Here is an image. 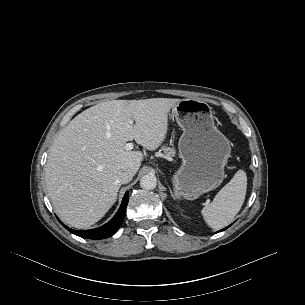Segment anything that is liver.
I'll return each mask as SVG.
<instances>
[{"instance_id": "liver-1", "label": "liver", "mask_w": 305, "mask_h": 305, "mask_svg": "<svg viewBox=\"0 0 305 305\" xmlns=\"http://www.w3.org/2000/svg\"><path fill=\"white\" fill-rule=\"evenodd\" d=\"M180 99L113 100L77 115L58 134L45 166L50 200L63 222L87 228L112 207L118 173L141 166L143 153L127 151L133 139L152 151L164 141L168 113ZM135 121V125L133 122Z\"/></svg>"}]
</instances>
